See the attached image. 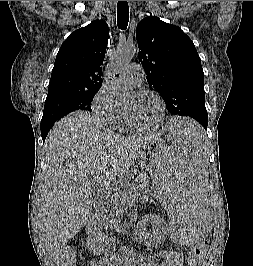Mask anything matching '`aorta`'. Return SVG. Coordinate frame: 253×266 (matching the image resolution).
I'll return each instance as SVG.
<instances>
[{
    "label": "aorta",
    "mask_w": 253,
    "mask_h": 266,
    "mask_svg": "<svg viewBox=\"0 0 253 266\" xmlns=\"http://www.w3.org/2000/svg\"><path fill=\"white\" fill-rule=\"evenodd\" d=\"M137 47L134 44H124L117 47L113 59L108 63L105 70V80L113 94L118 98L128 97L131 86L123 76V69L134 55Z\"/></svg>",
    "instance_id": "aorta-1"
}]
</instances>
